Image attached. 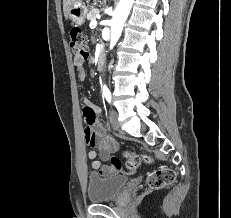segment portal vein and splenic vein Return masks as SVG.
I'll use <instances>...</instances> for the list:
<instances>
[{
    "mask_svg": "<svg viewBox=\"0 0 231 218\" xmlns=\"http://www.w3.org/2000/svg\"><path fill=\"white\" fill-rule=\"evenodd\" d=\"M97 25V21L96 20H92L90 22V27H95Z\"/></svg>",
    "mask_w": 231,
    "mask_h": 218,
    "instance_id": "18ae733b",
    "label": "portal vein and splenic vein"
}]
</instances>
